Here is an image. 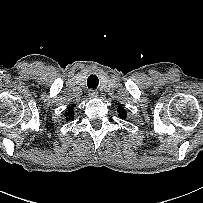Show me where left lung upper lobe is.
I'll list each match as a JSON object with an SVG mask.
<instances>
[{
  "mask_svg": "<svg viewBox=\"0 0 203 203\" xmlns=\"http://www.w3.org/2000/svg\"><path fill=\"white\" fill-rule=\"evenodd\" d=\"M118 112H119V117L120 118H122V119L126 118L127 113H126V111H125V109L123 107H119Z\"/></svg>",
  "mask_w": 203,
  "mask_h": 203,
  "instance_id": "1",
  "label": "left lung upper lobe"
}]
</instances>
